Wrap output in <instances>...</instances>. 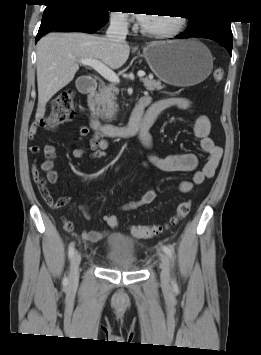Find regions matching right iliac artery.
Returning <instances> with one entry per match:
<instances>
[{"instance_id": "1", "label": "right iliac artery", "mask_w": 261, "mask_h": 355, "mask_svg": "<svg viewBox=\"0 0 261 355\" xmlns=\"http://www.w3.org/2000/svg\"><path fill=\"white\" fill-rule=\"evenodd\" d=\"M74 251H75L74 243L72 242V243L69 245V251H68V256H69L70 259L73 257ZM68 282H69V281H68V278L65 277V278L63 279V283H64L65 285H67Z\"/></svg>"}]
</instances>
